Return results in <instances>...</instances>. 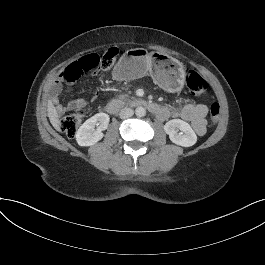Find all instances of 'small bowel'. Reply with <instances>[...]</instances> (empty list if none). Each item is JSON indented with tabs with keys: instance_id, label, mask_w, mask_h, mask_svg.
<instances>
[{
	"instance_id": "c3829d8e",
	"label": "small bowel",
	"mask_w": 265,
	"mask_h": 265,
	"mask_svg": "<svg viewBox=\"0 0 265 265\" xmlns=\"http://www.w3.org/2000/svg\"><path fill=\"white\" fill-rule=\"evenodd\" d=\"M61 87L59 83H54L50 88L51 100L56 104L54 113L56 115L64 114L67 111L82 108L86 105V100L83 98H76L70 100L67 104H59L58 97ZM164 115L160 117L161 120L169 118H180L184 121L190 122L194 132L198 136H202L206 132V115L208 107L205 104L186 103L181 108L163 107Z\"/></svg>"
}]
</instances>
